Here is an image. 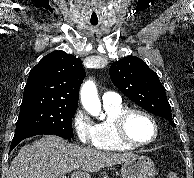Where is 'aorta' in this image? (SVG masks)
<instances>
[{
    "label": "aorta",
    "instance_id": "1",
    "mask_svg": "<svg viewBox=\"0 0 194 178\" xmlns=\"http://www.w3.org/2000/svg\"><path fill=\"white\" fill-rule=\"evenodd\" d=\"M81 102L83 107L92 116L104 119L105 115L101 113V103L98 97L97 88L93 81H86L80 91Z\"/></svg>",
    "mask_w": 194,
    "mask_h": 178
}]
</instances>
